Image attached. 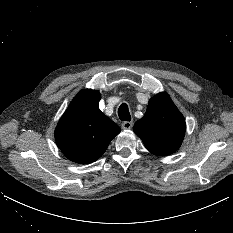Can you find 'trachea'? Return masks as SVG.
<instances>
[{"label":"trachea","mask_w":233,"mask_h":233,"mask_svg":"<svg viewBox=\"0 0 233 233\" xmlns=\"http://www.w3.org/2000/svg\"><path fill=\"white\" fill-rule=\"evenodd\" d=\"M118 116H119L120 120H122V121H130L131 120V116H130L127 104L123 103L120 105V107L118 109Z\"/></svg>","instance_id":"trachea-1"}]
</instances>
